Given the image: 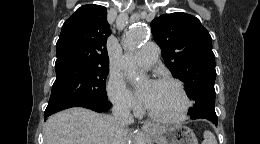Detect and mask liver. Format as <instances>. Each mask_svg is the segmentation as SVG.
Segmentation results:
<instances>
[{"instance_id":"1","label":"liver","mask_w":260,"mask_h":144,"mask_svg":"<svg viewBox=\"0 0 260 144\" xmlns=\"http://www.w3.org/2000/svg\"><path fill=\"white\" fill-rule=\"evenodd\" d=\"M44 133L46 144H126L128 129L112 116L74 107L50 116Z\"/></svg>"}]
</instances>
